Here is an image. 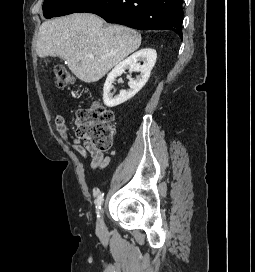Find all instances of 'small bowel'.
Here are the masks:
<instances>
[{
	"instance_id": "obj_1",
	"label": "small bowel",
	"mask_w": 255,
	"mask_h": 272,
	"mask_svg": "<svg viewBox=\"0 0 255 272\" xmlns=\"http://www.w3.org/2000/svg\"><path fill=\"white\" fill-rule=\"evenodd\" d=\"M55 125L60 137L69 143L82 158L86 159L88 155L91 156L90 166L92 169L103 168L109 163L110 155H104L103 152L92 148L88 144L80 143L71 135L64 116L57 115L55 117Z\"/></svg>"
}]
</instances>
